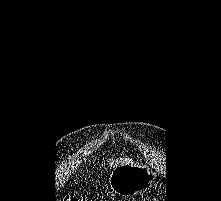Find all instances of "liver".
Listing matches in <instances>:
<instances>
[{
	"label": "liver",
	"instance_id": "obj_1",
	"mask_svg": "<svg viewBox=\"0 0 221 201\" xmlns=\"http://www.w3.org/2000/svg\"><path fill=\"white\" fill-rule=\"evenodd\" d=\"M128 163H132L129 159H124V160H120V161H111L110 164L113 166V167H116L120 164H128Z\"/></svg>",
	"mask_w": 221,
	"mask_h": 201
}]
</instances>
